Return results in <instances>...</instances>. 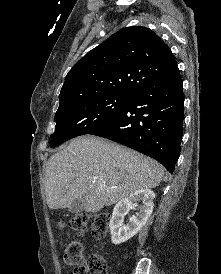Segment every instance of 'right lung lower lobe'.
Returning a JSON list of instances; mask_svg holds the SVG:
<instances>
[{
    "instance_id": "right-lung-lower-lobe-1",
    "label": "right lung lower lobe",
    "mask_w": 221,
    "mask_h": 274,
    "mask_svg": "<svg viewBox=\"0 0 221 274\" xmlns=\"http://www.w3.org/2000/svg\"><path fill=\"white\" fill-rule=\"evenodd\" d=\"M184 96L178 65L134 93L104 125L90 132L160 162L170 173L180 155Z\"/></svg>"
}]
</instances>
